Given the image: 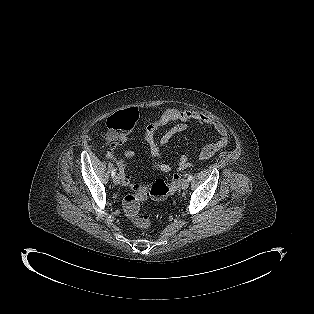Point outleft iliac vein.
Listing matches in <instances>:
<instances>
[{"label":"left iliac vein","mask_w":314,"mask_h":314,"mask_svg":"<svg viewBox=\"0 0 314 314\" xmlns=\"http://www.w3.org/2000/svg\"><path fill=\"white\" fill-rule=\"evenodd\" d=\"M188 187H189V180H188V179H184V180L182 181L181 188H182L183 190H185V189H187Z\"/></svg>","instance_id":"left-iliac-vein-1"}]
</instances>
